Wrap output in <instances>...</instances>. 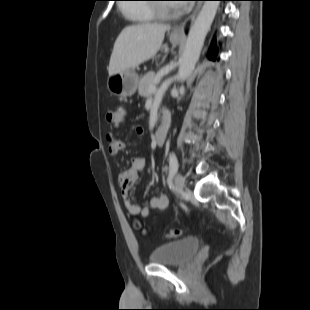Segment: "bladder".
<instances>
[{
    "instance_id": "1",
    "label": "bladder",
    "mask_w": 310,
    "mask_h": 310,
    "mask_svg": "<svg viewBox=\"0 0 310 310\" xmlns=\"http://www.w3.org/2000/svg\"><path fill=\"white\" fill-rule=\"evenodd\" d=\"M200 242L197 238L187 237L164 243L150 253V261L155 264L179 266L190 261L198 252Z\"/></svg>"
}]
</instances>
